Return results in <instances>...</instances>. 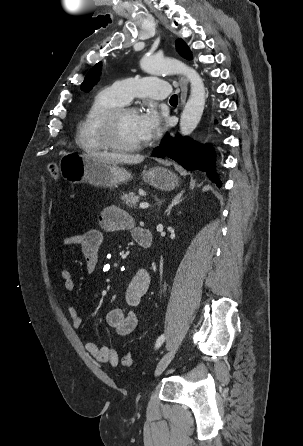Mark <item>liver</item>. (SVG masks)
Instances as JSON below:
<instances>
[{
    "mask_svg": "<svg viewBox=\"0 0 303 446\" xmlns=\"http://www.w3.org/2000/svg\"><path fill=\"white\" fill-rule=\"evenodd\" d=\"M94 160L103 161L106 163H125V164H137L144 160L142 155H130L120 153H107V152H90L86 155Z\"/></svg>",
    "mask_w": 303,
    "mask_h": 446,
    "instance_id": "6515ba94",
    "label": "liver"
}]
</instances>
